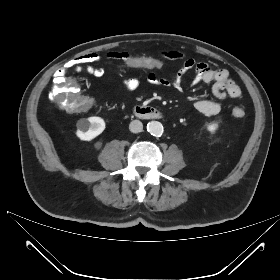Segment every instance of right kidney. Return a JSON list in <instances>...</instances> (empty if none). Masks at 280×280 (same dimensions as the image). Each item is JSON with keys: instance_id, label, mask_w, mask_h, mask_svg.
Instances as JSON below:
<instances>
[{"instance_id": "right-kidney-1", "label": "right kidney", "mask_w": 280, "mask_h": 280, "mask_svg": "<svg viewBox=\"0 0 280 280\" xmlns=\"http://www.w3.org/2000/svg\"><path fill=\"white\" fill-rule=\"evenodd\" d=\"M104 129V120L101 117L93 116L78 121L76 135L83 141H90L100 135Z\"/></svg>"}]
</instances>
